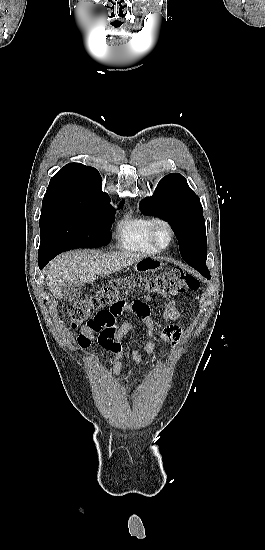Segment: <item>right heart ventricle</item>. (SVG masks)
I'll return each mask as SVG.
<instances>
[{
  "mask_svg": "<svg viewBox=\"0 0 265 550\" xmlns=\"http://www.w3.org/2000/svg\"><path fill=\"white\" fill-rule=\"evenodd\" d=\"M151 218L146 216H126L117 227L119 246L127 251L155 254L158 249L149 237Z\"/></svg>",
  "mask_w": 265,
  "mask_h": 550,
  "instance_id": "1",
  "label": "right heart ventricle"
}]
</instances>
